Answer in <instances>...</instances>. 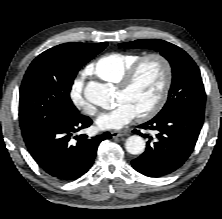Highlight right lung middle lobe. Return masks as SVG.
Listing matches in <instances>:
<instances>
[{
  "instance_id": "1",
  "label": "right lung middle lobe",
  "mask_w": 222,
  "mask_h": 219,
  "mask_svg": "<svg viewBox=\"0 0 222 219\" xmlns=\"http://www.w3.org/2000/svg\"><path fill=\"white\" fill-rule=\"evenodd\" d=\"M106 46V42L65 43L34 59L20 88L19 120L23 137L65 113H79L70 99L74 78Z\"/></svg>"
}]
</instances>
